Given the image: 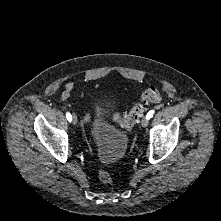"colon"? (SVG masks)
Here are the masks:
<instances>
[{"mask_svg":"<svg viewBox=\"0 0 221 221\" xmlns=\"http://www.w3.org/2000/svg\"><path fill=\"white\" fill-rule=\"evenodd\" d=\"M162 94L154 87H149L145 89L139 101L124 115L114 114V121L117 125L122 128L129 129L133 127L143 115L146 110V105L148 103H159L162 102ZM83 121H89V116L84 115ZM99 178L103 183H111L112 177L109 172L105 169L99 171Z\"/></svg>","mask_w":221,"mask_h":221,"instance_id":"1","label":"colon"}]
</instances>
